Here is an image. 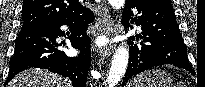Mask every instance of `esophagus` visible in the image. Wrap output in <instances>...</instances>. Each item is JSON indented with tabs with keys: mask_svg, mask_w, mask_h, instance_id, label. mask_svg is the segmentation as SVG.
Returning a JSON list of instances; mask_svg holds the SVG:
<instances>
[{
	"mask_svg": "<svg viewBox=\"0 0 205 87\" xmlns=\"http://www.w3.org/2000/svg\"><path fill=\"white\" fill-rule=\"evenodd\" d=\"M97 3V16H98V24L99 30L106 35L114 36L118 33L117 28L114 25L113 20L111 19L110 12L108 6L104 0H96ZM115 44H108L104 47L101 54L102 57H109L115 49Z\"/></svg>",
	"mask_w": 205,
	"mask_h": 87,
	"instance_id": "34e87169",
	"label": "esophagus"
}]
</instances>
